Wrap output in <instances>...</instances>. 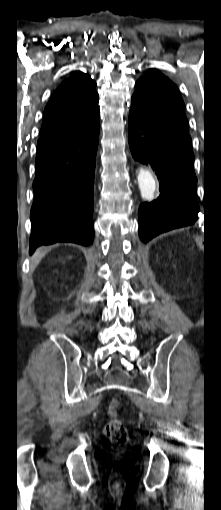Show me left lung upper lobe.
<instances>
[{
    "label": "left lung upper lobe",
    "mask_w": 221,
    "mask_h": 510,
    "mask_svg": "<svg viewBox=\"0 0 221 510\" xmlns=\"http://www.w3.org/2000/svg\"><path fill=\"white\" fill-rule=\"evenodd\" d=\"M135 89L131 107L161 133L191 148L184 102L177 86L158 70L149 69L136 82Z\"/></svg>",
    "instance_id": "left-lung-upper-lobe-1"
}]
</instances>
